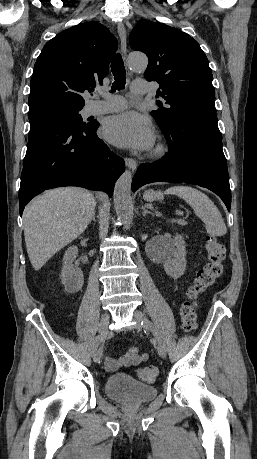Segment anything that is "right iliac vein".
I'll return each mask as SVG.
<instances>
[{"label": "right iliac vein", "instance_id": "right-iliac-vein-1", "mask_svg": "<svg viewBox=\"0 0 257 459\" xmlns=\"http://www.w3.org/2000/svg\"><path fill=\"white\" fill-rule=\"evenodd\" d=\"M110 323V315L108 313H104L101 317L100 324H99V334L105 336L108 332V325ZM102 357L101 349L97 348L93 352V360L95 362H99Z\"/></svg>", "mask_w": 257, "mask_h": 459}]
</instances>
